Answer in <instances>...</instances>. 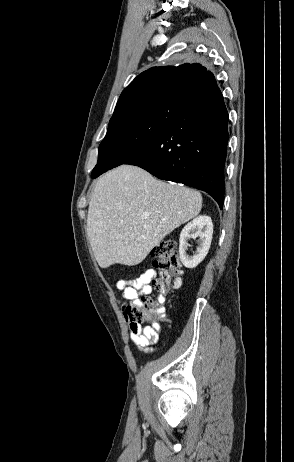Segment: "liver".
Instances as JSON below:
<instances>
[{
	"instance_id": "obj_1",
	"label": "liver",
	"mask_w": 294,
	"mask_h": 462,
	"mask_svg": "<svg viewBox=\"0 0 294 462\" xmlns=\"http://www.w3.org/2000/svg\"><path fill=\"white\" fill-rule=\"evenodd\" d=\"M201 208L198 191L159 181L139 167L121 165L107 172L95 185L87 215L96 261L102 268L139 264Z\"/></svg>"
}]
</instances>
